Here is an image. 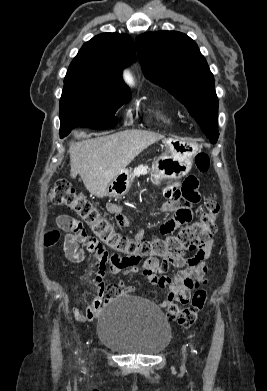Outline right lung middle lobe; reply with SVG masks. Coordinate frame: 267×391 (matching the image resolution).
Listing matches in <instances>:
<instances>
[{
	"instance_id": "obj_1",
	"label": "right lung middle lobe",
	"mask_w": 267,
	"mask_h": 391,
	"mask_svg": "<svg viewBox=\"0 0 267 391\" xmlns=\"http://www.w3.org/2000/svg\"><path fill=\"white\" fill-rule=\"evenodd\" d=\"M131 99L130 91L108 87L93 79L64 81L60 99V135L74 127L96 130L116 126V111Z\"/></svg>"
}]
</instances>
